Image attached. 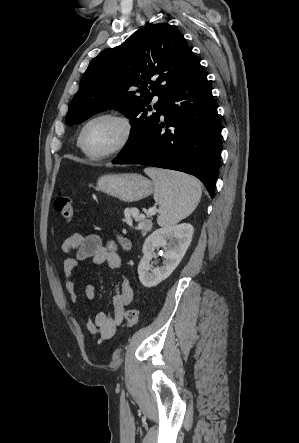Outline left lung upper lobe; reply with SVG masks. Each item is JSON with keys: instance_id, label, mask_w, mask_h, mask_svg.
<instances>
[{"instance_id": "left-lung-upper-lobe-1", "label": "left lung upper lobe", "mask_w": 299, "mask_h": 443, "mask_svg": "<svg viewBox=\"0 0 299 443\" xmlns=\"http://www.w3.org/2000/svg\"><path fill=\"white\" fill-rule=\"evenodd\" d=\"M198 63L183 35L173 26L149 24L90 62L65 123L73 126L115 108L132 125L123 152L152 126L169 91ZM154 96L159 100L154 104L156 112H151L149 103Z\"/></svg>"}]
</instances>
